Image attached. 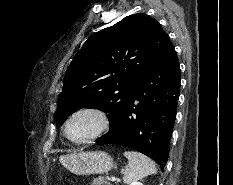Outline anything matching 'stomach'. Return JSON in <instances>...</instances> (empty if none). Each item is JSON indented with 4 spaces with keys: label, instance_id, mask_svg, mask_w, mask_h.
I'll return each mask as SVG.
<instances>
[{
    "label": "stomach",
    "instance_id": "1",
    "mask_svg": "<svg viewBox=\"0 0 233 185\" xmlns=\"http://www.w3.org/2000/svg\"><path fill=\"white\" fill-rule=\"evenodd\" d=\"M60 162L75 175L103 174L113 167L112 157L104 151H74L61 156Z\"/></svg>",
    "mask_w": 233,
    "mask_h": 185
}]
</instances>
